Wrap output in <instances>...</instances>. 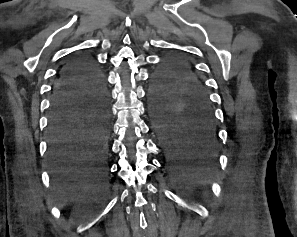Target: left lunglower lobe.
<instances>
[{"label":"left lung lower lobe","instance_id":"0a47b994","mask_svg":"<svg viewBox=\"0 0 297 237\" xmlns=\"http://www.w3.org/2000/svg\"><path fill=\"white\" fill-rule=\"evenodd\" d=\"M154 128L166 156L177 166H211L218 135L211 105L189 101L181 106L151 105Z\"/></svg>","mask_w":297,"mask_h":237}]
</instances>
